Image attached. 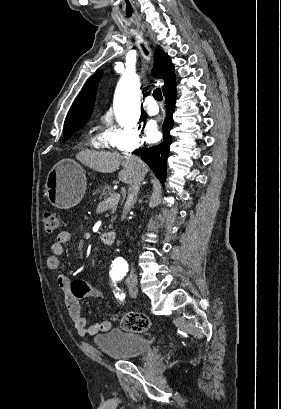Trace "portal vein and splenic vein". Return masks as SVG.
Here are the masks:
<instances>
[{
  "instance_id": "portal-vein-and-splenic-vein-1",
  "label": "portal vein and splenic vein",
  "mask_w": 281,
  "mask_h": 409,
  "mask_svg": "<svg viewBox=\"0 0 281 409\" xmlns=\"http://www.w3.org/2000/svg\"><path fill=\"white\" fill-rule=\"evenodd\" d=\"M118 201H119L118 197L113 195L108 196L107 200L99 202L98 208L100 209L101 212H104L107 209V207L109 208L116 207L118 205Z\"/></svg>"
}]
</instances>
